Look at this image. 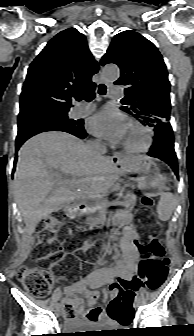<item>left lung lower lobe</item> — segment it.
Here are the masks:
<instances>
[{"instance_id": "left-lung-lower-lobe-1", "label": "left lung lower lobe", "mask_w": 194, "mask_h": 336, "mask_svg": "<svg viewBox=\"0 0 194 336\" xmlns=\"http://www.w3.org/2000/svg\"><path fill=\"white\" fill-rule=\"evenodd\" d=\"M155 142L148 152L149 156L166 162L178 177L177 157L174 150V138L169 122H162L154 127Z\"/></svg>"}]
</instances>
